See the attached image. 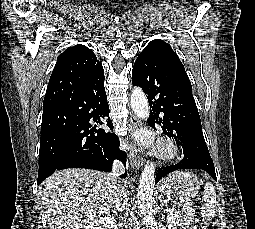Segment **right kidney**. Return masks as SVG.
<instances>
[{
  "label": "right kidney",
  "instance_id": "1",
  "mask_svg": "<svg viewBox=\"0 0 255 229\" xmlns=\"http://www.w3.org/2000/svg\"><path fill=\"white\" fill-rule=\"evenodd\" d=\"M116 219L112 216L101 217L85 225L84 229H117Z\"/></svg>",
  "mask_w": 255,
  "mask_h": 229
}]
</instances>
